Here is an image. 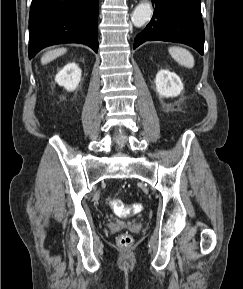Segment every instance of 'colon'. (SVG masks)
<instances>
[{
  "label": "colon",
  "mask_w": 243,
  "mask_h": 289,
  "mask_svg": "<svg viewBox=\"0 0 243 289\" xmlns=\"http://www.w3.org/2000/svg\"><path fill=\"white\" fill-rule=\"evenodd\" d=\"M110 206L113 213L118 217L135 215L143 210V206L140 203H133L129 206H126L120 199H112ZM132 241V237L129 234H121L117 239L118 245L121 247L130 246Z\"/></svg>",
  "instance_id": "5ec220e1"
}]
</instances>
